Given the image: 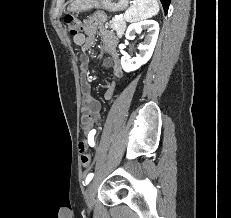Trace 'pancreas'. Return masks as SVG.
I'll use <instances>...</instances> for the list:
<instances>
[{
  "instance_id": "pancreas-1",
  "label": "pancreas",
  "mask_w": 231,
  "mask_h": 218,
  "mask_svg": "<svg viewBox=\"0 0 231 218\" xmlns=\"http://www.w3.org/2000/svg\"><path fill=\"white\" fill-rule=\"evenodd\" d=\"M105 27H110L117 32L118 37H122L126 28V22L123 18L119 20L113 18L110 23H106Z\"/></svg>"
}]
</instances>
